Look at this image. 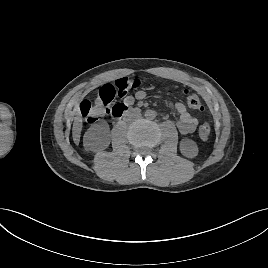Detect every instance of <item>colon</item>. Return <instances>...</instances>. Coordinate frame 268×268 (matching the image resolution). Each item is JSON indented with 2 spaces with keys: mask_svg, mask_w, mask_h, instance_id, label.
<instances>
[{
  "mask_svg": "<svg viewBox=\"0 0 268 268\" xmlns=\"http://www.w3.org/2000/svg\"><path fill=\"white\" fill-rule=\"evenodd\" d=\"M140 84L141 80L136 76L124 77L114 83L104 84L92 100L82 102L80 107L82 116L90 123L97 121L111 111V104L117 97H124L130 90L137 88ZM184 94L190 108L198 111L204 110V106L197 95L190 93L187 89L184 90ZM210 134V125L208 123L202 124L198 131L200 139L206 141Z\"/></svg>",
  "mask_w": 268,
  "mask_h": 268,
  "instance_id": "1",
  "label": "colon"
}]
</instances>
